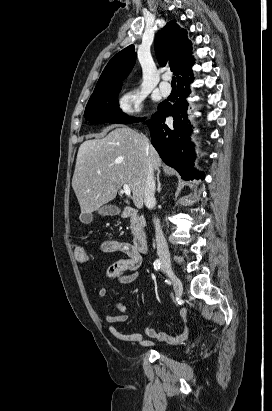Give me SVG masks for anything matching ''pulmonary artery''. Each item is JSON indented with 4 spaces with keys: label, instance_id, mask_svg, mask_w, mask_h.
I'll return each mask as SVG.
<instances>
[{
    "label": "pulmonary artery",
    "instance_id": "obj_1",
    "mask_svg": "<svg viewBox=\"0 0 272 411\" xmlns=\"http://www.w3.org/2000/svg\"><path fill=\"white\" fill-rule=\"evenodd\" d=\"M170 78L169 74L163 75V82H161L159 89L164 96H168L171 93V86L167 83V80Z\"/></svg>",
    "mask_w": 272,
    "mask_h": 411
}]
</instances>
